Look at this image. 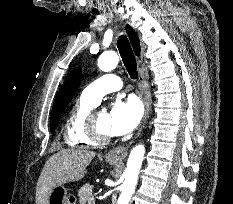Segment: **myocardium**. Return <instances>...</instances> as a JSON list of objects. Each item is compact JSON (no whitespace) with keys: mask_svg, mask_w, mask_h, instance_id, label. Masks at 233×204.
I'll return each instance as SVG.
<instances>
[{"mask_svg":"<svg viewBox=\"0 0 233 204\" xmlns=\"http://www.w3.org/2000/svg\"><path fill=\"white\" fill-rule=\"evenodd\" d=\"M97 113H98L97 111H92L88 116L87 119L88 134L92 139H94L99 143L109 142L112 139V136L100 131L96 122Z\"/></svg>","mask_w":233,"mask_h":204,"instance_id":"f54148a6","label":"myocardium"}]
</instances>
